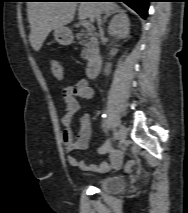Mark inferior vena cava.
Wrapping results in <instances>:
<instances>
[{
  "label": "inferior vena cava",
  "instance_id": "inferior-vena-cava-1",
  "mask_svg": "<svg viewBox=\"0 0 188 213\" xmlns=\"http://www.w3.org/2000/svg\"><path fill=\"white\" fill-rule=\"evenodd\" d=\"M96 19H97V22H98V26L99 28L101 29V24H102V21H101V13H97L96 14Z\"/></svg>",
  "mask_w": 188,
  "mask_h": 213
}]
</instances>
